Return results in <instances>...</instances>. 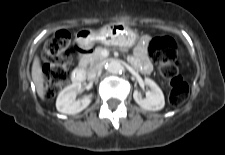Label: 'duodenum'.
<instances>
[{"instance_id": "duodenum-1", "label": "duodenum", "mask_w": 225, "mask_h": 155, "mask_svg": "<svg viewBox=\"0 0 225 155\" xmlns=\"http://www.w3.org/2000/svg\"><path fill=\"white\" fill-rule=\"evenodd\" d=\"M81 54H85L86 51L81 50ZM86 78L85 69L83 66L77 67L72 73V81L74 83H82Z\"/></svg>"}]
</instances>
